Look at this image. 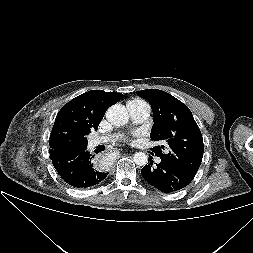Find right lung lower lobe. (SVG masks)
<instances>
[{"label":"right lung lower lobe","mask_w":253,"mask_h":253,"mask_svg":"<svg viewBox=\"0 0 253 253\" xmlns=\"http://www.w3.org/2000/svg\"><path fill=\"white\" fill-rule=\"evenodd\" d=\"M93 156L88 151L70 159H55L52 163L60 177L70 186L87 188L104 180L108 173L100 172L94 166Z\"/></svg>","instance_id":"right-lung-lower-lobe-1"}]
</instances>
